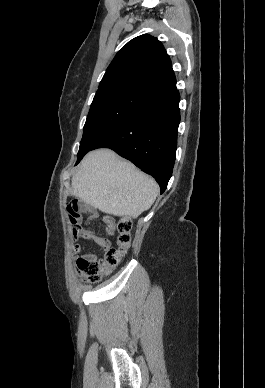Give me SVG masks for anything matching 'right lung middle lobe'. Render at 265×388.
Listing matches in <instances>:
<instances>
[{
	"instance_id": "right-lung-middle-lobe-1",
	"label": "right lung middle lobe",
	"mask_w": 265,
	"mask_h": 388,
	"mask_svg": "<svg viewBox=\"0 0 265 388\" xmlns=\"http://www.w3.org/2000/svg\"><path fill=\"white\" fill-rule=\"evenodd\" d=\"M145 100L127 92H97L84 125L77 162L101 138L137 111Z\"/></svg>"
}]
</instances>
